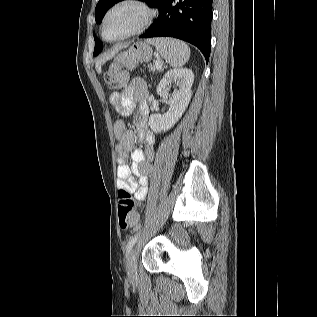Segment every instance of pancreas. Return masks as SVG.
<instances>
[{
  "mask_svg": "<svg viewBox=\"0 0 317 317\" xmlns=\"http://www.w3.org/2000/svg\"><path fill=\"white\" fill-rule=\"evenodd\" d=\"M148 68L153 72L157 69L155 65H151V64L148 65Z\"/></svg>",
  "mask_w": 317,
  "mask_h": 317,
  "instance_id": "obj_1",
  "label": "pancreas"
}]
</instances>
